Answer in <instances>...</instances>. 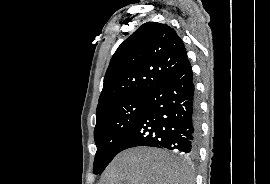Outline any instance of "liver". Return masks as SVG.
<instances>
[{
	"label": "liver",
	"mask_w": 270,
	"mask_h": 184,
	"mask_svg": "<svg viewBox=\"0 0 270 184\" xmlns=\"http://www.w3.org/2000/svg\"><path fill=\"white\" fill-rule=\"evenodd\" d=\"M99 184H191V172L163 150L136 147L119 153Z\"/></svg>",
	"instance_id": "1"
}]
</instances>
